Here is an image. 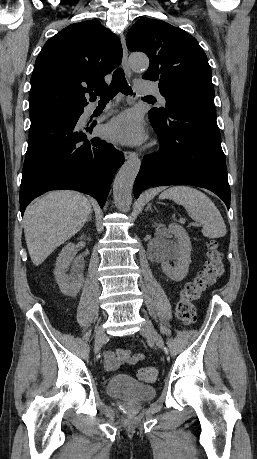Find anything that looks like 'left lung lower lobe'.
<instances>
[{
	"label": "left lung lower lobe",
	"instance_id": "obj_1",
	"mask_svg": "<svg viewBox=\"0 0 257 459\" xmlns=\"http://www.w3.org/2000/svg\"><path fill=\"white\" fill-rule=\"evenodd\" d=\"M150 121L161 148L143 159L134 183V196L148 187L188 184L206 188L230 207L225 155L213 104H186Z\"/></svg>",
	"mask_w": 257,
	"mask_h": 459
}]
</instances>
